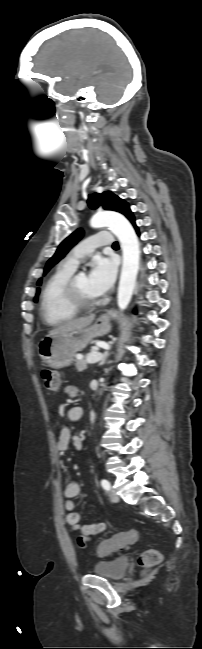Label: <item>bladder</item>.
I'll return each instance as SVG.
<instances>
[{"instance_id":"1","label":"bladder","mask_w":202,"mask_h":649,"mask_svg":"<svg viewBox=\"0 0 202 649\" xmlns=\"http://www.w3.org/2000/svg\"><path fill=\"white\" fill-rule=\"evenodd\" d=\"M129 566V562L124 557H118L112 560L97 562L93 567V574L107 578L109 580L121 579Z\"/></svg>"}]
</instances>
